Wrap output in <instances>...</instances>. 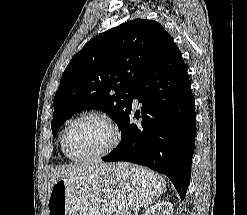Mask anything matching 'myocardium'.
<instances>
[{
  "label": "myocardium",
  "instance_id": "myocardium-1",
  "mask_svg": "<svg viewBox=\"0 0 247 215\" xmlns=\"http://www.w3.org/2000/svg\"><path fill=\"white\" fill-rule=\"evenodd\" d=\"M86 118L98 119V120L102 121L103 123H105L109 127V129L111 130L112 139H111V142L109 143V145L103 151H101L99 153L92 154V155H86V156H76L71 150L70 135H71L72 129L75 126V124L78 123L79 121L83 120V119H86ZM120 138H121L120 130L111 118H109L107 115L100 113V112L89 111V112H85V113H82L79 116H77L67 126L66 131H65V135H64V146H65V150H66L68 156L72 160H74V161H92V160H99V159L105 158L109 154H111L116 149V147L118 146V144L120 142Z\"/></svg>",
  "mask_w": 247,
  "mask_h": 215
}]
</instances>
